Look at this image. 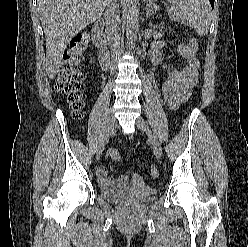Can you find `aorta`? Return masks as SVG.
<instances>
[{
  "label": "aorta",
  "instance_id": "obj_1",
  "mask_svg": "<svg viewBox=\"0 0 248 247\" xmlns=\"http://www.w3.org/2000/svg\"><path fill=\"white\" fill-rule=\"evenodd\" d=\"M126 38L129 50L135 48L139 28L137 0H126Z\"/></svg>",
  "mask_w": 248,
  "mask_h": 247
}]
</instances>
